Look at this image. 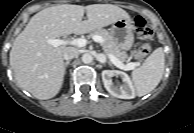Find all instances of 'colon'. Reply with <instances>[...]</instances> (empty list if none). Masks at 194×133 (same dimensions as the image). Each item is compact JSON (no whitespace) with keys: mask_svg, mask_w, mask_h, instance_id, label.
<instances>
[{"mask_svg":"<svg viewBox=\"0 0 194 133\" xmlns=\"http://www.w3.org/2000/svg\"><path fill=\"white\" fill-rule=\"evenodd\" d=\"M134 25L136 33L142 42L133 50L132 56L135 59H141L145 57L151 50L149 42L153 38V32L148 26L146 20L141 16L135 17Z\"/></svg>","mask_w":194,"mask_h":133,"instance_id":"1","label":"colon"}]
</instances>
